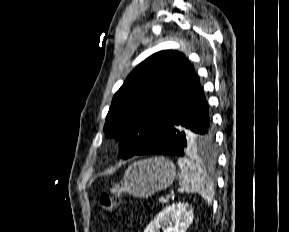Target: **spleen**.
I'll list each match as a JSON object with an SVG mask.
<instances>
[{"label": "spleen", "instance_id": "obj_1", "mask_svg": "<svg viewBox=\"0 0 289 232\" xmlns=\"http://www.w3.org/2000/svg\"><path fill=\"white\" fill-rule=\"evenodd\" d=\"M180 185L187 193H198L202 198L211 204L214 197V186L201 168L200 164L187 158H179Z\"/></svg>", "mask_w": 289, "mask_h": 232}]
</instances>
